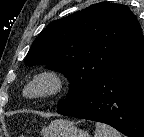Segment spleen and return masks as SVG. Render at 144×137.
Returning a JSON list of instances; mask_svg holds the SVG:
<instances>
[{"label": "spleen", "mask_w": 144, "mask_h": 137, "mask_svg": "<svg viewBox=\"0 0 144 137\" xmlns=\"http://www.w3.org/2000/svg\"><path fill=\"white\" fill-rule=\"evenodd\" d=\"M94 137H121V134L109 125L104 123H96Z\"/></svg>", "instance_id": "3e777b00"}]
</instances>
